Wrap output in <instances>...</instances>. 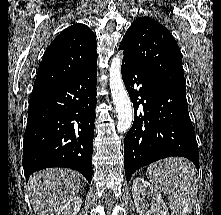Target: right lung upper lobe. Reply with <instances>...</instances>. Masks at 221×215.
I'll return each instance as SVG.
<instances>
[{"instance_id": "1", "label": "right lung upper lobe", "mask_w": 221, "mask_h": 215, "mask_svg": "<svg viewBox=\"0 0 221 215\" xmlns=\"http://www.w3.org/2000/svg\"><path fill=\"white\" fill-rule=\"evenodd\" d=\"M96 36L76 23L62 31L48 47L38 69L34 90L66 81L97 62Z\"/></svg>"}]
</instances>
